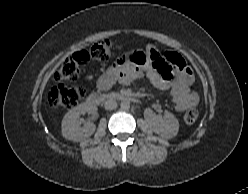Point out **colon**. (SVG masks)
<instances>
[{"label": "colon", "instance_id": "colon-1", "mask_svg": "<svg viewBox=\"0 0 248 194\" xmlns=\"http://www.w3.org/2000/svg\"><path fill=\"white\" fill-rule=\"evenodd\" d=\"M141 54H144V52L136 49L124 52L119 46L108 40L95 43L89 50L77 51L66 58L56 73L57 84L51 88L48 96L50 106L72 108L79 103L85 95L84 89L79 86H68L67 83L75 80L84 71L86 64L90 60L119 59L124 61L129 59L133 61ZM151 59L157 64L162 63L157 51L151 53ZM197 118L198 109L197 107H192L185 112L183 121L185 124L191 125L196 122Z\"/></svg>", "mask_w": 248, "mask_h": 194}]
</instances>
